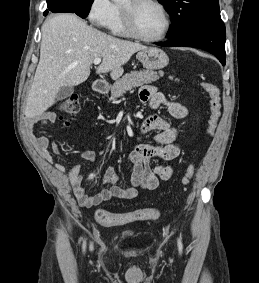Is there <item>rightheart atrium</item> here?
<instances>
[{"instance_id": "obj_1", "label": "right heart atrium", "mask_w": 259, "mask_h": 283, "mask_svg": "<svg viewBox=\"0 0 259 283\" xmlns=\"http://www.w3.org/2000/svg\"><path fill=\"white\" fill-rule=\"evenodd\" d=\"M114 11V4L111 0H91L88 9V19L98 27H105Z\"/></svg>"}]
</instances>
